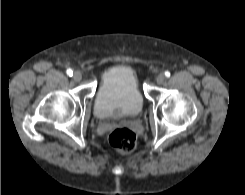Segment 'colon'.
Here are the masks:
<instances>
[{
  "label": "colon",
  "instance_id": "1",
  "mask_svg": "<svg viewBox=\"0 0 245 195\" xmlns=\"http://www.w3.org/2000/svg\"><path fill=\"white\" fill-rule=\"evenodd\" d=\"M110 145L120 154L131 152L136 145V135L128 128H117L108 135Z\"/></svg>",
  "mask_w": 245,
  "mask_h": 195
}]
</instances>
